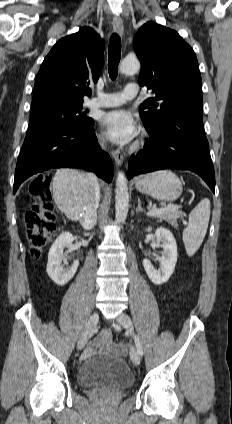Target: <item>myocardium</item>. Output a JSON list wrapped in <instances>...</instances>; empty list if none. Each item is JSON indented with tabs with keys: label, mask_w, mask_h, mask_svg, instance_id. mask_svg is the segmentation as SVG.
Listing matches in <instances>:
<instances>
[{
	"label": "myocardium",
	"mask_w": 232,
	"mask_h": 424,
	"mask_svg": "<svg viewBox=\"0 0 232 424\" xmlns=\"http://www.w3.org/2000/svg\"><path fill=\"white\" fill-rule=\"evenodd\" d=\"M140 146H141V142L137 141L136 143L133 144L132 150H138Z\"/></svg>",
	"instance_id": "f54148a6"
}]
</instances>
